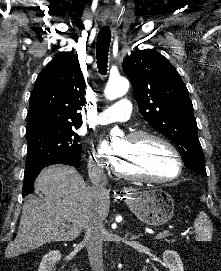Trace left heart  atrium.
I'll return each mask as SVG.
<instances>
[{"label": "left heart atrium", "instance_id": "39dd6f15", "mask_svg": "<svg viewBox=\"0 0 221 271\" xmlns=\"http://www.w3.org/2000/svg\"><path fill=\"white\" fill-rule=\"evenodd\" d=\"M116 142H105L101 150L106 157H136V152H128V148H116Z\"/></svg>", "mask_w": 221, "mask_h": 271}]
</instances>
